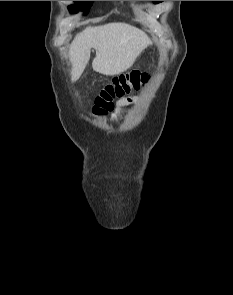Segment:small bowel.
<instances>
[{
    "instance_id": "1",
    "label": "small bowel",
    "mask_w": 233,
    "mask_h": 295,
    "mask_svg": "<svg viewBox=\"0 0 233 295\" xmlns=\"http://www.w3.org/2000/svg\"><path fill=\"white\" fill-rule=\"evenodd\" d=\"M132 100L130 98H126V99H122L118 102V110H117V114L120 115L125 106L128 105Z\"/></svg>"
}]
</instances>
